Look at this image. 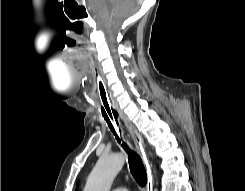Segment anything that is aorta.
Instances as JSON below:
<instances>
[{
	"mask_svg": "<svg viewBox=\"0 0 245 191\" xmlns=\"http://www.w3.org/2000/svg\"><path fill=\"white\" fill-rule=\"evenodd\" d=\"M124 162L122 153L101 156L87 179L84 191H110L112 182Z\"/></svg>",
	"mask_w": 245,
	"mask_h": 191,
	"instance_id": "762f6f07",
	"label": "aorta"
}]
</instances>
